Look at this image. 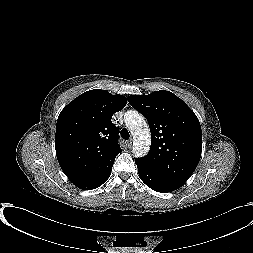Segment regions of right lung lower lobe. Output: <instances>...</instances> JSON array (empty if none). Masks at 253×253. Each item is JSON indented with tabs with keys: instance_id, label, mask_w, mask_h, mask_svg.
Listing matches in <instances>:
<instances>
[{
	"instance_id": "right-lung-lower-lobe-1",
	"label": "right lung lower lobe",
	"mask_w": 253,
	"mask_h": 253,
	"mask_svg": "<svg viewBox=\"0 0 253 253\" xmlns=\"http://www.w3.org/2000/svg\"><path fill=\"white\" fill-rule=\"evenodd\" d=\"M110 174H111V170L108 173H106L105 175L101 176L100 178H98L92 182L78 186V187L80 189H84V190L95 189V188L101 186L104 182H106L107 179L110 177Z\"/></svg>"
}]
</instances>
